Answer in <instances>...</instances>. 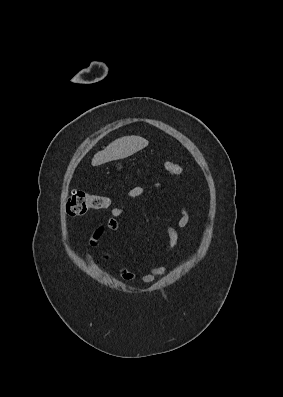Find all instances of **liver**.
I'll return each instance as SVG.
<instances>
[{
  "label": "liver",
  "instance_id": "6515ba94",
  "mask_svg": "<svg viewBox=\"0 0 283 397\" xmlns=\"http://www.w3.org/2000/svg\"><path fill=\"white\" fill-rule=\"evenodd\" d=\"M148 141L140 136H125L110 143L104 150L97 152L92 159V166L126 158L145 148Z\"/></svg>",
  "mask_w": 283,
  "mask_h": 397
}]
</instances>
